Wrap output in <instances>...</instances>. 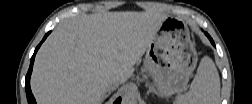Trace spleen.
<instances>
[{
    "instance_id": "obj_1",
    "label": "spleen",
    "mask_w": 252,
    "mask_h": 104,
    "mask_svg": "<svg viewBox=\"0 0 252 104\" xmlns=\"http://www.w3.org/2000/svg\"><path fill=\"white\" fill-rule=\"evenodd\" d=\"M220 100V78L211 58L201 59L188 92L177 98L178 104H217Z\"/></svg>"
}]
</instances>
